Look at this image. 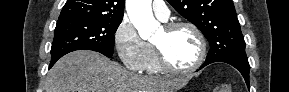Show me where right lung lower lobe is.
<instances>
[{
  "label": "right lung lower lobe",
  "mask_w": 289,
  "mask_h": 92,
  "mask_svg": "<svg viewBox=\"0 0 289 92\" xmlns=\"http://www.w3.org/2000/svg\"><path fill=\"white\" fill-rule=\"evenodd\" d=\"M55 62H56V61H51L49 68H51V67L55 64Z\"/></svg>",
  "instance_id": "right-lung-lower-lobe-1"
}]
</instances>
